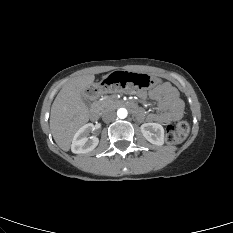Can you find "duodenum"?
Here are the masks:
<instances>
[{
  "label": "duodenum",
  "instance_id": "410a0bca",
  "mask_svg": "<svg viewBox=\"0 0 233 233\" xmlns=\"http://www.w3.org/2000/svg\"><path fill=\"white\" fill-rule=\"evenodd\" d=\"M124 105L127 106L128 108L132 109L136 115L139 113V109H137L133 103L126 102V103H124ZM98 117H99V108L96 105H94L90 110V118L92 120H97Z\"/></svg>",
  "mask_w": 233,
  "mask_h": 233
}]
</instances>
